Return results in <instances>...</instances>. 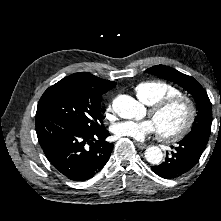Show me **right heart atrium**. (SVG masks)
I'll use <instances>...</instances> for the list:
<instances>
[{"mask_svg": "<svg viewBox=\"0 0 221 221\" xmlns=\"http://www.w3.org/2000/svg\"><path fill=\"white\" fill-rule=\"evenodd\" d=\"M106 117L108 119H112L113 116H112V105H108L107 108H106Z\"/></svg>", "mask_w": 221, "mask_h": 221, "instance_id": "d8ad5b80", "label": "right heart atrium"}]
</instances>
